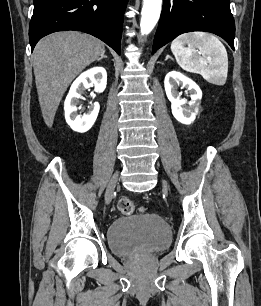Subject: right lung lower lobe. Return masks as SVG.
I'll use <instances>...</instances> for the list:
<instances>
[{
  "label": "right lung lower lobe",
  "instance_id": "1",
  "mask_svg": "<svg viewBox=\"0 0 261 306\" xmlns=\"http://www.w3.org/2000/svg\"><path fill=\"white\" fill-rule=\"evenodd\" d=\"M128 0H33L31 50L44 36L64 30L89 33L120 55L123 14Z\"/></svg>",
  "mask_w": 261,
  "mask_h": 306
}]
</instances>
